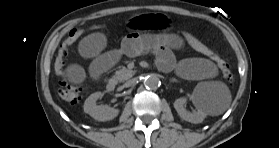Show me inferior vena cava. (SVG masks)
<instances>
[{
    "label": "inferior vena cava",
    "instance_id": "obj_1",
    "mask_svg": "<svg viewBox=\"0 0 279 148\" xmlns=\"http://www.w3.org/2000/svg\"><path fill=\"white\" fill-rule=\"evenodd\" d=\"M134 81H135L134 79L127 81V82L125 83V86H126V87H130V86L134 83Z\"/></svg>",
    "mask_w": 279,
    "mask_h": 148
}]
</instances>
